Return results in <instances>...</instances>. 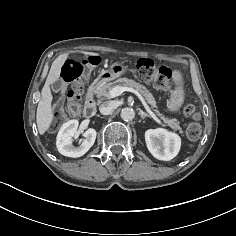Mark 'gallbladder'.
Listing matches in <instances>:
<instances>
[{"mask_svg":"<svg viewBox=\"0 0 236 236\" xmlns=\"http://www.w3.org/2000/svg\"><path fill=\"white\" fill-rule=\"evenodd\" d=\"M63 82L61 80H56L54 83L51 84V89L54 92H58L62 89Z\"/></svg>","mask_w":236,"mask_h":236,"instance_id":"obj_1","label":"gallbladder"}]
</instances>
